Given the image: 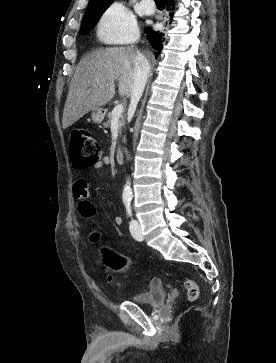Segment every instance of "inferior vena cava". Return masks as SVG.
<instances>
[{"mask_svg":"<svg viewBox=\"0 0 276 363\" xmlns=\"http://www.w3.org/2000/svg\"><path fill=\"white\" fill-rule=\"evenodd\" d=\"M149 71L150 65L147 58L142 54H138L135 59L131 100L128 109V114L130 115L134 114L137 104L142 97L149 76Z\"/></svg>","mask_w":276,"mask_h":363,"instance_id":"obj_1","label":"inferior vena cava"}]
</instances>
